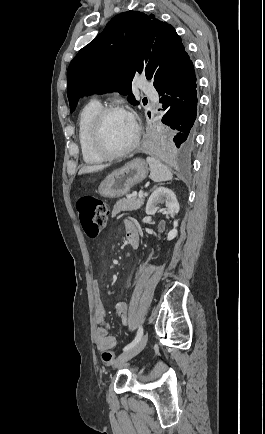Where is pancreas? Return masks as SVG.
Instances as JSON below:
<instances>
[{
  "label": "pancreas",
  "instance_id": "1",
  "mask_svg": "<svg viewBox=\"0 0 265 434\" xmlns=\"http://www.w3.org/2000/svg\"><path fill=\"white\" fill-rule=\"evenodd\" d=\"M144 198H122L116 202L112 210V218L118 212H131V210H139L143 206Z\"/></svg>",
  "mask_w": 265,
  "mask_h": 434
}]
</instances>
